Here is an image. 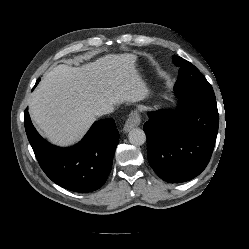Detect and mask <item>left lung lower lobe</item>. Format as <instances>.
<instances>
[{"label":"left lung lower lobe","mask_w":249,"mask_h":249,"mask_svg":"<svg viewBox=\"0 0 249 249\" xmlns=\"http://www.w3.org/2000/svg\"><path fill=\"white\" fill-rule=\"evenodd\" d=\"M175 93L180 97L179 108L151 112L143 126L148 161L169 183L188 181L205 169L219 126L215 97Z\"/></svg>","instance_id":"0a47b994"}]
</instances>
